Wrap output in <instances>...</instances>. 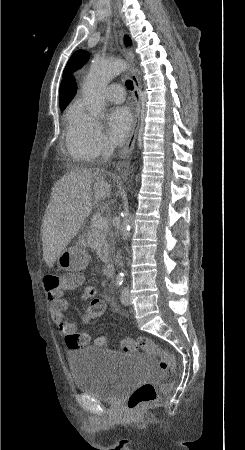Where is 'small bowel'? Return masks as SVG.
<instances>
[{
    "label": "small bowel",
    "mask_w": 245,
    "mask_h": 450,
    "mask_svg": "<svg viewBox=\"0 0 245 450\" xmlns=\"http://www.w3.org/2000/svg\"><path fill=\"white\" fill-rule=\"evenodd\" d=\"M53 277V276H47ZM77 290L80 292V297L83 301H88L97 294V289L93 286H85L82 283L67 289L68 291ZM63 290H47L46 297L50 303V314L52 321L57 326L59 332L63 335H69L76 330V326L67 320L66 312L69 309V303L63 298ZM67 337V336H66ZM109 342V339L104 336H98L93 340L95 346H104ZM68 344V343H67ZM69 347H73L68 345Z\"/></svg>",
    "instance_id": "c3829d8e"
}]
</instances>
